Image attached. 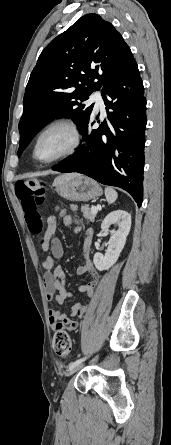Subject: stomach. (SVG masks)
<instances>
[{
	"label": "stomach",
	"instance_id": "0dacf381",
	"mask_svg": "<svg viewBox=\"0 0 171 445\" xmlns=\"http://www.w3.org/2000/svg\"><path fill=\"white\" fill-rule=\"evenodd\" d=\"M53 185L59 196L70 201L87 202L102 194L97 182L82 175L58 177Z\"/></svg>",
	"mask_w": 171,
	"mask_h": 445
}]
</instances>
